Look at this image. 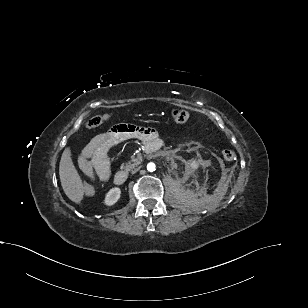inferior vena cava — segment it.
Segmentation results:
<instances>
[{"instance_id": "inferior-vena-cava-1", "label": "inferior vena cava", "mask_w": 308, "mask_h": 308, "mask_svg": "<svg viewBox=\"0 0 308 308\" xmlns=\"http://www.w3.org/2000/svg\"><path fill=\"white\" fill-rule=\"evenodd\" d=\"M138 171V169H135L134 171H132V173L134 174V173H136Z\"/></svg>"}]
</instances>
